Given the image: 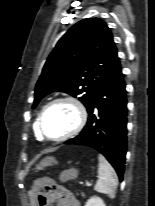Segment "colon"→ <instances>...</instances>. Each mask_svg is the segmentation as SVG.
<instances>
[{"instance_id": "1", "label": "colon", "mask_w": 155, "mask_h": 206, "mask_svg": "<svg viewBox=\"0 0 155 206\" xmlns=\"http://www.w3.org/2000/svg\"><path fill=\"white\" fill-rule=\"evenodd\" d=\"M54 182L51 179H42L38 181V185L32 190L35 194L37 205L45 206L47 203V193L51 192Z\"/></svg>"}]
</instances>
